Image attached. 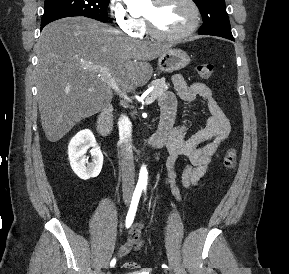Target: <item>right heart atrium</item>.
Masks as SVG:
<instances>
[{"instance_id":"right-heart-atrium-1","label":"right heart atrium","mask_w":289,"mask_h":274,"mask_svg":"<svg viewBox=\"0 0 289 274\" xmlns=\"http://www.w3.org/2000/svg\"><path fill=\"white\" fill-rule=\"evenodd\" d=\"M109 9L116 27L122 33L132 37L141 35L143 21L128 11L123 0H110Z\"/></svg>"}]
</instances>
